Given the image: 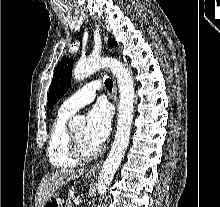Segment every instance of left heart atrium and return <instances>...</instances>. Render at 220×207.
I'll return each instance as SVG.
<instances>
[{"instance_id":"left-heart-atrium-1","label":"left heart atrium","mask_w":220,"mask_h":207,"mask_svg":"<svg viewBox=\"0 0 220 207\" xmlns=\"http://www.w3.org/2000/svg\"><path fill=\"white\" fill-rule=\"evenodd\" d=\"M111 130V111L107 104L99 102L87 115L85 136L97 148L106 141Z\"/></svg>"}]
</instances>
